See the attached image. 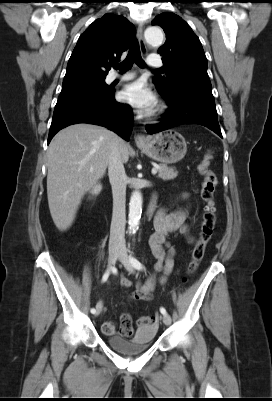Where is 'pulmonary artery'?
<instances>
[{
  "label": "pulmonary artery",
  "instance_id": "1",
  "mask_svg": "<svg viewBox=\"0 0 272 401\" xmlns=\"http://www.w3.org/2000/svg\"><path fill=\"white\" fill-rule=\"evenodd\" d=\"M147 62H148V65L151 67L158 68V67L162 66V60L157 55L149 56ZM133 77H134V75L131 73H124V74L112 73L108 76L107 80H108V82L127 81V80L132 79Z\"/></svg>",
  "mask_w": 272,
  "mask_h": 401
}]
</instances>
